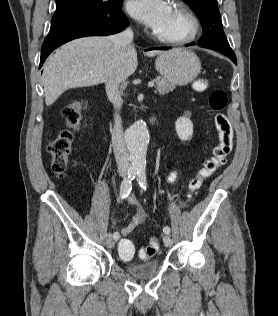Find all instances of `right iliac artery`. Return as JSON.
<instances>
[{"label":"right iliac artery","instance_id":"right-iliac-artery-1","mask_svg":"<svg viewBox=\"0 0 278 316\" xmlns=\"http://www.w3.org/2000/svg\"><path fill=\"white\" fill-rule=\"evenodd\" d=\"M137 172H138V169L136 167H130L128 169L127 176L124 178V180L122 181L120 185V199L121 200L128 197L132 189V181L136 177ZM119 237H120V234L118 232H115L113 234V238L115 240L119 239Z\"/></svg>","mask_w":278,"mask_h":316}]
</instances>
